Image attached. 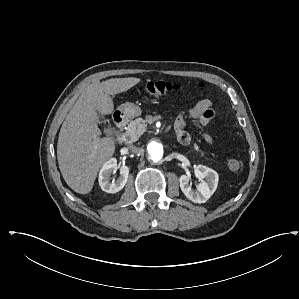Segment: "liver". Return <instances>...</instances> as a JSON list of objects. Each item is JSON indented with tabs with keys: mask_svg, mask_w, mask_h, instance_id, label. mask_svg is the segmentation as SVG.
<instances>
[{
	"mask_svg": "<svg viewBox=\"0 0 299 299\" xmlns=\"http://www.w3.org/2000/svg\"><path fill=\"white\" fill-rule=\"evenodd\" d=\"M141 80L135 77L95 81L81 93L62 124L57 160L67 185L79 194L89 193L102 165L115 152V140L101 137L100 115L114 109L111 95L125 92Z\"/></svg>",
	"mask_w": 299,
	"mask_h": 299,
	"instance_id": "liver-1",
	"label": "liver"
}]
</instances>
